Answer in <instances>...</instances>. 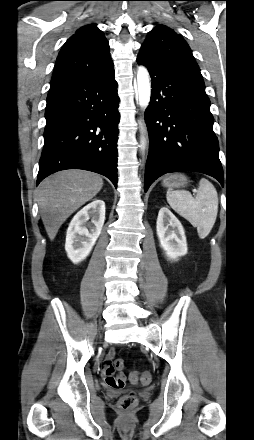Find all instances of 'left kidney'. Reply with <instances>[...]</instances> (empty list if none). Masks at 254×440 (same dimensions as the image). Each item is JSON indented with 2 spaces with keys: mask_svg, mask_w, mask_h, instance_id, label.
<instances>
[{
  "mask_svg": "<svg viewBox=\"0 0 254 440\" xmlns=\"http://www.w3.org/2000/svg\"><path fill=\"white\" fill-rule=\"evenodd\" d=\"M156 231L160 246L168 259L177 260L187 254L183 226L167 207H162L159 210Z\"/></svg>",
  "mask_w": 254,
  "mask_h": 440,
  "instance_id": "5707ae66",
  "label": "left kidney"
}]
</instances>
